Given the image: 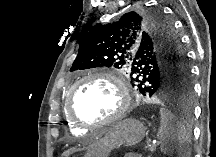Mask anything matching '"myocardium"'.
Returning a JSON list of instances; mask_svg holds the SVG:
<instances>
[{
	"instance_id": "myocardium-1",
	"label": "myocardium",
	"mask_w": 216,
	"mask_h": 157,
	"mask_svg": "<svg viewBox=\"0 0 216 157\" xmlns=\"http://www.w3.org/2000/svg\"><path fill=\"white\" fill-rule=\"evenodd\" d=\"M93 79L104 80L116 87L118 92V107L114 112V114L107 119L100 120V121H85L79 118L73 111V105H72L73 94L75 89L80 84H82L85 81H89ZM130 104H131L130 92L126 82L122 78L109 71H95L84 75L71 86L67 95L65 106H66V113L69 120H71L78 126L84 128H92L98 126L111 125L120 121L128 112L130 108Z\"/></svg>"
}]
</instances>
